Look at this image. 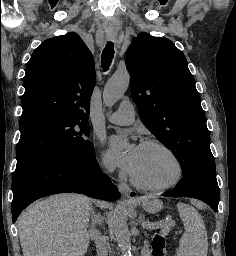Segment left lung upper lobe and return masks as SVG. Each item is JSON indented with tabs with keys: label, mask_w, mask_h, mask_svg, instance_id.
Listing matches in <instances>:
<instances>
[{
	"label": "left lung upper lobe",
	"mask_w": 236,
	"mask_h": 256,
	"mask_svg": "<svg viewBox=\"0 0 236 256\" xmlns=\"http://www.w3.org/2000/svg\"><path fill=\"white\" fill-rule=\"evenodd\" d=\"M130 91L146 127L191 172L216 175L210 135L184 54L164 37L141 33L126 53Z\"/></svg>",
	"instance_id": "left-lung-upper-lobe-1"
}]
</instances>
